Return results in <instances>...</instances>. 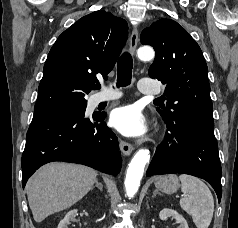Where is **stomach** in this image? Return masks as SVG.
<instances>
[{
	"label": "stomach",
	"mask_w": 238,
	"mask_h": 228,
	"mask_svg": "<svg viewBox=\"0 0 238 228\" xmlns=\"http://www.w3.org/2000/svg\"><path fill=\"white\" fill-rule=\"evenodd\" d=\"M155 186L164 193H175L179 188V181L176 175L159 176L155 179Z\"/></svg>",
	"instance_id": "0dacf381"
}]
</instances>
